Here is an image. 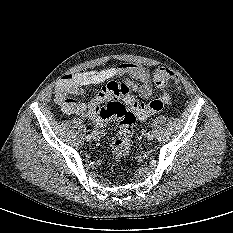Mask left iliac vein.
Here are the masks:
<instances>
[{"label":"left iliac vein","mask_w":233,"mask_h":233,"mask_svg":"<svg viewBox=\"0 0 233 233\" xmlns=\"http://www.w3.org/2000/svg\"><path fill=\"white\" fill-rule=\"evenodd\" d=\"M139 135H140L141 137H146V136H147V131H146V130H141V131L139 132Z\"/></svg>","instance_id":"1"}]
</instances>
